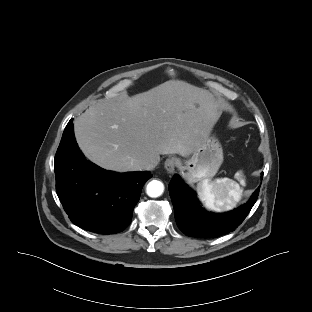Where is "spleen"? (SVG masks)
Here are the masks:
<instances>
[{
    "label": "spleen",
    "instance_id": "3e777b00",
    "mask_svg": "<svg viewBox=\"0 0 312 312\" xmlns=\"http://www.w3.org/2000/svg\"><path fill=\"white\" fill-rule=\"evenodd\" d=\"M235 178L240 184L245 183L241 171L235 174ZM197 191L205 207L216 212L233 209L242 197L240 185L229 178H220L212 182L204 180L197 185Z\"/></svg>",
    "mask_w": 312,
    "mask_h": 312
}]
</instances>
